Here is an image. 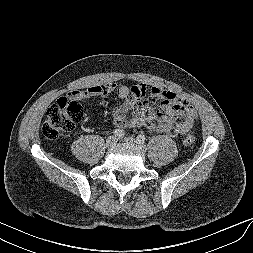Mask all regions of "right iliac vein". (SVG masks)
Listing matches in <instances>:
<instances>
[{
    "instance_id": "1",
    "label": "right iliac vein",
    "mask_w": 253,
    "mask_h": 253,
    "mask_svg": "<svg viewBox=\"0 0 253 253\" xmlns=\"http://www.w3.org/2000/svg\"><path fill=\"white\" fill-rule=\"evenodd\" d=\"M116 142H117V139L114 136H109L106 139V145H107V147H113L116 144Z\"/></svg>"
}]
</instances>
